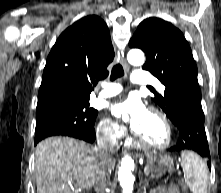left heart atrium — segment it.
<instances>
[{"label":"left heart atrium","instance_id":"obj_1","mask_svg":"<svg viewBox=\"0 0 221 193\" xmlns=\"http://www.w3.org/2000/svg\"><path fill=\"white\" fill-rule=\"evenodd\" d=\"M112 114L116 117L126 115L128 123L135 130L146 117L148 110L144 103L136 96H130L111 106Z\"/></svg>","mask_w":221,"mask_h":193}]
</instances>
